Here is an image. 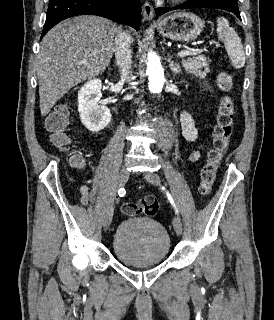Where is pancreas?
Here are the masks:
<instances>
[{"label":"pancreas","instance_id":"1","mask_svg":"<svg viewBox=\"0 0 274 320\" xmlns=\"http://www.w3.org/2000/svg\"><path fill=\"white\" fill-rule=\"evenodd\" d=\"M210 62L211 60L206 58L204 54H197V56H193V58H185L181 64L189 74H194V76H199V78H205L206 74L210 72Z\"/></svg>","mask_w":274,"mask_h":320}]
</instances>
